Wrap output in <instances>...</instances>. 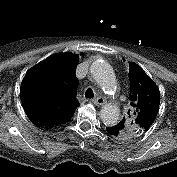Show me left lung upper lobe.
I'll list each match as a JSON object with an SVG mask.
<instances>
[{
	"label": "left lung upper lobe",
	"instance_id": "5c2ea615",
	"mask_svg": "<svg viewBox=\"0 0 177 177\" xmlns=\"http://www.w3.org/2000/svg\"><path fill=\"white\" fill-rule=\"evenodd\" d=\"M131 108L128 117L116 126L121 134L116 138L127 140L143 136L153 124L159 109L160 93L154 81L137 64L129 63Z\"/></svg>",
	"mask_w": 177,
	"mask_h": 177
}]
</instances>
